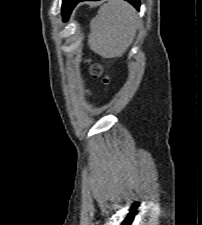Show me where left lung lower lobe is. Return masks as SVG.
<instances>
[{"label":"left lung lower lobe","mask_w":202,"mask_h":225,"mask_svg":"<svg viewBox=\"0 0 202 225\" xmlns=\"http://www.w3.org/2000/svg\"><path fill=\"white\" fill-rule=\"evenodd\" d=\"M80 1H85V0H77V1L75 2V4H74L73 7H75L76 4H77L78 2H80ZM90 1H96V0H90ZM126 1H128L129 3H131L136 9H139V7H140V0H126Z\"/></svg>","instance_id":"obj_1"}]
</instances>
